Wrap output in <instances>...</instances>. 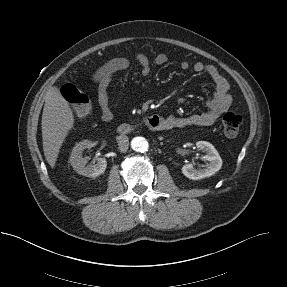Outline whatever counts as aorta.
I'll return each mask as SVG.
<instances>
[{"instance_id":"762f6f07","label":"aorta","mask_w":287,"mask_h":287,"mask_svg":"<svg viewBox=\"0 0 287 287\" xmlns=\"http://www.w3.org/2000/svg\"><path fill=\"white\" fill-rule=\"evenodd\" d=\"M131 147L137 152L144 153L148 150L149 144L144 137H135L131 141Z\"/></svg>"}]
</instances>
